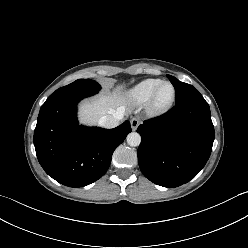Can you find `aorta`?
<instances>
[{"instance_id": "762f6f07", "label": "aorta", "mask_w": 248, "mask_h": 248, "mask_svg": "<svg viewBox=\"0 0 248 248\" xmlns=\"http://www.w3.org/2000/svg\"><path fill=\"white\" fill-rule=\"evenodd\" d=\"M141 142V136L137 132H131L127 136V143L130 146L136 147L139 146Z\"/></svg>"}]
</instances>
